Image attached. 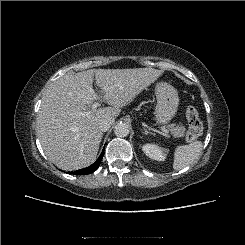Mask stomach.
Segmentation results:
<instances>
[{"instance_id": "1", "label": "stomach", "mask_w": 245, "mask_h": 245, "mask_svg": "<svg viewBox=\"0 0 245 245\" xmlns=\"http://www.w3.org/2000/svg\"><path fill=\"white\" fill-rule=\"evenodd\" d=\"M156 98L155 120L157 124L166 125L177 113L179 105L178 92L170 84L160 82L156 85Z\"/></svg>"}]
</instances>
